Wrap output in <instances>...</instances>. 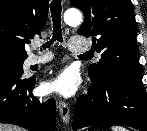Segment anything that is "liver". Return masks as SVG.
Here are the masks:
<instances>
[{
    "instance_id": "1",
    "label": "liver",
    "mask_w": 147,
    "mask_h": 131,
    "mask_svg": "<svg viewBox=\"0 0 147 131\" xmlns=\"http://www.w3.org/2000/svg\"><path fill=\"white\" fill-rule=\"evenodd\" d=\"M0 131H24L22 128L9 124H0Z\"/></svg>"
}]
</instances>
